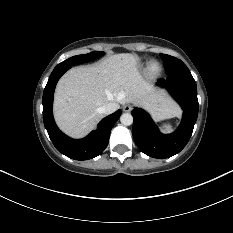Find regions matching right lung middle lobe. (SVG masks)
Here are the masks:
<instances>
[{"label":"right lung middle lobe","mask_w":233,"mask_h":233,"mask_svg":"<svg viewBox=\"0 0 233 233\" xmlns=\"http://www.w3.org/2000/svg\"><path fill=\"white\" fill-rule=\"evenodd\" d=\"M103 54H104L103 52L93 51V52L88 53V54L73 56V57L61 62L55 68L72 66V65L88 62V61L94 60V59L102 56Z\"/></svg>","instance_id":"dd1d6c3e"}]
</instances>
